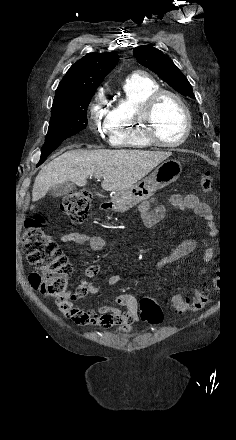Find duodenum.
<instances>
[{"instance_id":"duodenum-1","label":"duodenum","mask_w":236,"mask_h":440,"mask_svg":"<svg viewBox=\"0 0 236 440\" xmlns=\"http://www.w3.org/2000/svg\"><path fill=\"white\" fill-rule=\"evenodd\" d=\"M112 207H113V202L110 200L103 202L102 205L100 206L102 210H110L112 209Z\"/></svg>"}]
</instances>
